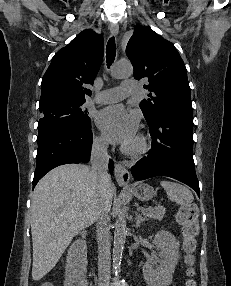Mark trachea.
<instances>
[{"mask_svg":"<svg viewBox=\"0 0 231 286\" xmlns=\"http://www.w3.org/2000/svg\"><path fill=\"white\" fill-rule=\"evenodd\" d=\"M115 56H116L115 38L111 37L106 47V62H107L108 67H110L112 63L114 62Z\"/></svg>","mask_w":231,"mask_h":286,"instance_id":"obj_1","label":"trachea"}]
</instances>
